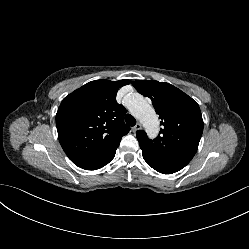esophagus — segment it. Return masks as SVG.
Returning a JSON list of instances; mask_svg holds the SVG:
<instances>
[{"label": "esophagus", "mask_w": 249, "mask_h": 249, "mask_svg": "<svg viewBox=\"0 0 249 249\" xmlns=\"http://www.w3.org/2000/svg\"><path fill=\"white\" fill-rule=\"evenodd\" d=\"M142 128V125L140 123H137L133 128V132H136L137 130H140Z\"/></svg>", "instance_id": "obj_1"}]
</instances>
